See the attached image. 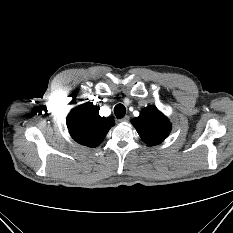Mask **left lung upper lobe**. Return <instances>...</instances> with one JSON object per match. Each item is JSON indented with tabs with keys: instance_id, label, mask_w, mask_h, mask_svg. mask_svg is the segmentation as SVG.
<instances>
[{
	"instance_id": "1",
	"label": "left lung upper lobe",
	"mask_w": 233,
	"mask_h": 233,
	"mask_svg": "<svg viewBox=\"0 0 233 233\" xmlns=\"http://www.w3.org/2000/svg\"><path fill=\"white\" fill-rule=\"evenodd\" d=\"M131 123L141 139L150 146L161 143L171 130L168 119L155 106L142 109L140 116L133 118Z\"/></svg>"
}]
</instances>
